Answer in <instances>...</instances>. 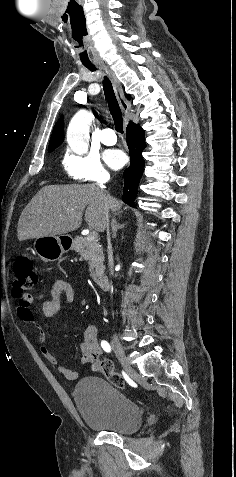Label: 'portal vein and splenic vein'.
Instances as JSON below:
<instances>
[{
	"instance_id": "obj_1",
	"label": "portal vein and splenic vein",
	"mask_w": 236,
	"mask_h": 477,
	"mask_svg": "<svg viewBox=\"0 0 236 477\" xmlns=\"http://www.w3.org/2000/svg\"><path fill=\"white\" fill-rule=\"evenodd\" d=\"M96 238H97V232L96 231H91L87 235V240L88 241H95Z\"/></svg>"
}]
</instances>
